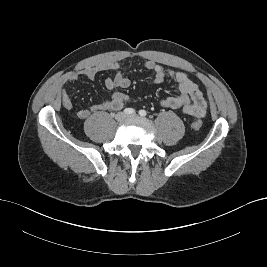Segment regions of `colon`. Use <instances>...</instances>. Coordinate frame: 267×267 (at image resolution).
Instances as JSON below:
<instances>
[{
	"mask_svg": "<svg viewBox=\"0 0 267 267\" xmlns=\"http://www.w3.org/2000/svg\"><path fill=\"white\" fill-rule=\"evenodd\" d=\"M201 127H202V122H201V120L196 119V120L193 121V123H192V128H193L194 130L197 131V130H199Z\"/></svg>",
	"mask_w": 267,
	"mask_h": 267,
	"instance_id": "5ec220e1",
	"label": "colon"
}]
</instances>
